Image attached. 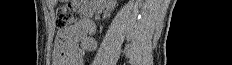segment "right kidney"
Listing matches in <instances>:
<instances>
[{"label": "right kidney", "mask_w": 232, "mask_h": 65, "mask_svg": "<svg viewBox=\"0 0 232 65\" xmlns=\"http://www.w3.org/2000/svg\"><path fill=\"white\" fill-rule=\"evenodd\" d=\"M114 6H115V1H114V0H109V1H108V7H109L110 9H113Z\"/></svg>", "instance_id": "1"}]
</instances>
